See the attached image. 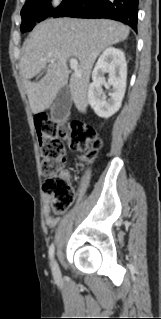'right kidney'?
Listing matches in <instances>:
<instances>
[{"label": "right kidney", "mask_w": 161, "mask_h": 319, "mask_svg": "<svg viewBox=\"0 0 161 319\" xmlns=\"http://www.w3.org/2000/svg\"><path fill=\"white\" fill-rule=\"evenodd\" d=\"M108 73V83L104 75ZM93 82L88 87V102L94 112L101 118H109L121 107L126 90L127 64L120 49L109 47L99 57L93 72ZM103 85L112 87L107 97Z\"/></svg>", "instance_id": "1"}]
</instances>
